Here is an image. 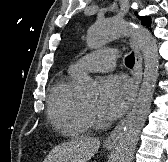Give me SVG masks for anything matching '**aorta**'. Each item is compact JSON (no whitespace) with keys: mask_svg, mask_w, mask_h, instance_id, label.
<instances>
[{"mask_svg":"<svg viewBox=\"0 0 168 162\" xmlns=\"http://www.w3.org/2000/svg\"><path fill=\"white\" fill-rule=\"evenodd\" d=\"M126 35H132L135 38L142 51L145 68L138 97L126 120L112 162H131L132 160L156 87L159 67L158 47L147 28L119 18H110L93 24L89 27L86 38L88 47L96 49ZM77 94L82 99L94 98L97 94V84L89 76L81 75L77 79Z\"/></svg>","mask_w":168,"mask_h":162,"instance_id":"1","label":"aorta"}]
</instances>
